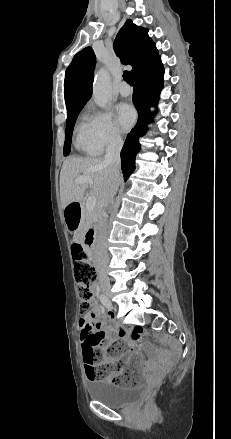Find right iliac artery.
<instances>
[{
  "instance_id": "82829eb1",
  "label": "right iliac artery",
  "mask_w": 231,
  "mask_h": 439,
  "mask_svg": "<svg viewBox=\"0 0 231 439\" xmlns=\"http://www.w3.org/2000/svg\"><path fill=\"white\" fill-rule=\"evenodd\" d=\"M100 300H101V303H102L105 307H107L108 309L111 308V303H110L109 299H108L105 295L102 294V295L100 296Z\"/></svg>"
}]
</instances>
